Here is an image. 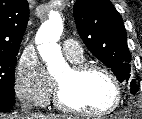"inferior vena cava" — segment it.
<instances>
[{"mask_svg":"<svg viewBox=\"0 0 142 119\" xmlns=\"http://www.w3.org/2000/svg\"><path fill=\"white\" fill-rule=\"evenodd\" d=\"M32 108L33 106L30 101H27L25 99L21 100V109L26 116H33V113H31Z\"/></svg>","mask_w":142,"mask_h":119,"instance_id":"1","label":"inferior vena cava"}]
</instances>
